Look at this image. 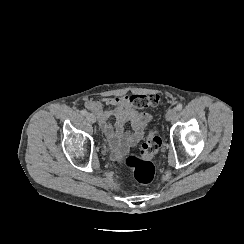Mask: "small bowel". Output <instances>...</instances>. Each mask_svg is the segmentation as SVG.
<instances>
[{
	"label": "small bowel",
	"instance_id": "obj_1",
	"mask_svg": "<svg viewBox=\"0 0 244 244\" xmlns=\"http://www.w3.org/2000/svg\"><path fill=\"white\" fill-rule=\"evenodd\" d=\"M85 107L94 114L110 147L116 150V158L125 155L130 147L143 138L145 129L152 119L149 113L136 110L127 95L89 100ZM127 124L130 125V131L126 129Z\"/></svg>",
	"mask_w": 244,
	"mask_h": 244
}]
</instances>
